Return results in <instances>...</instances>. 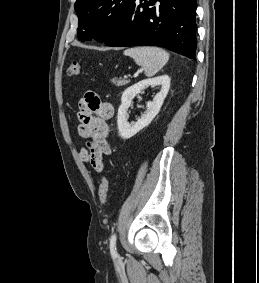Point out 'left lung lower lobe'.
<instances>
[{
	"instance_id": "1",
	"label": "left lung lower lobe",
	"mask_w": 259,
	"mask_h": 283,
	"mask_svg": "<svg viewBox=\"0 0 259 283\" xmlns=\"http://www.w3.org/2000/svg\"><path fill=\"white\" fill-rule=\"evenodd\" d=\"M197 0H133L107 46H160L195 59Z\"/></svg>"
}]
</instances>
